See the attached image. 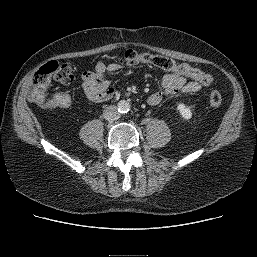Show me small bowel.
<instances>
[{"label":"small bowel","mask_w":257,"mask_h":257,"mask_svg":"<svg viewBox=\"0 0 257 257\" xmlns=\"http://www.w3.org/2000/svg\"><path fill=\"white\" fill-rule=\"evenodd\" d=\"M137 65V64H135ZM121 66L118 63L106 64L97 62L93 71H87L82 76V87L87 99L93 102L108 100L112 97L114 89L106 77L107 73L119 71ZM203 85L196 80L171 72L160 80V89L150 94L148 103L152 106L159 105L167 96L180 93H195L201 90Z\"/></svg>","instance_id":"1"}]
</instances>
